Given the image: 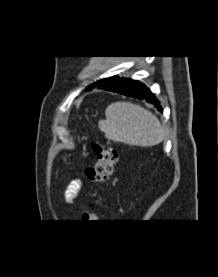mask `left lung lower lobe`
I'll return each mask as SVG.
<instances>
[{
    "label": "left lung lower lobe",
    "mask_w": 218,
    "mask_h": 277,
    "mask_svg": "<svg viewBox=\"0 0 218 277\" xmlns=\"http://www.w3.org/2000/svg\"><path fill=\"white\" fill-rule=\"evenodd\" d=\"M97 87L102 88L103 90L112 91L130 97L146 100L147 102H150L158 106L157 109L159 111H162V108L160 107L158 101L155 99L153 93H151L149 89H147L144 85L135 80L111 77L107 78L103 83H101Z\"/></svg>",
    "instance_id": "left-lung-lower-lobe-1"
}]
</instances>
